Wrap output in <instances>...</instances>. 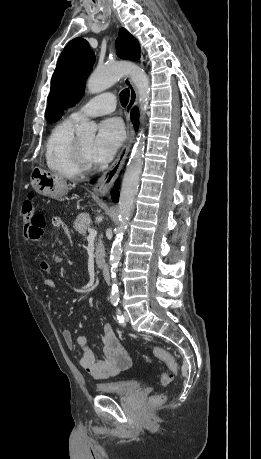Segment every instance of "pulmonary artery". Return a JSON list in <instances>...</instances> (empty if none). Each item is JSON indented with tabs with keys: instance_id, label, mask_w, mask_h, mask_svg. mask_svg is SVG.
Segmentation results:
<instances>
[{
	"instance_id": "1",
	"label": "pulmonary artery",
	"mask_w": 261,
	"mask_h": 459,
	"mask_svg": "<svg viewBox=\"0 0 261 459\" xmlns=\"http://www.w3.org/2000/svg\"><path fill=\"white\" fill-rule=\"evenodd\" d=\"M116 108V97L111 92L101 93L75 110L71 117L79 119L82 116H100L112 113Z\"/></svg>"
}]
</instances>
